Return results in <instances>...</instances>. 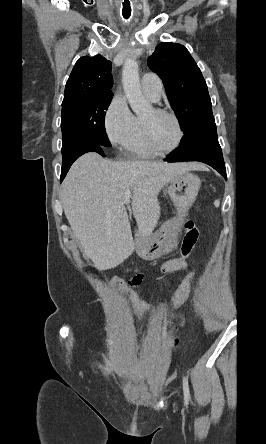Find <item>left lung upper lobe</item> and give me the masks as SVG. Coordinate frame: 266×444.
Returning a JSON list of instances; mask_svg holds the SVG:
<instances>
[{"mask_svg": "<svg viewBox=\"0 0 266 444\" xmlns=\"http://www.w3.org/2000/svg\"><path fill=\"white\" fill-rule=\"evenodd\" d=\"M148 66L163 80L170 105L185 132L213 116L206 82L183 45L161 43L148 58Z\"/></svg>", "mask_w": 266, "mask_h": 444, "instance_id": "obj_1", "label": "left lung upper lobe"}]
</instances>
